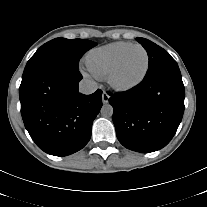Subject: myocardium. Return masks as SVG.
Listing matches in <instances>:
<instances>
[{
	"label": "myocardium",
	"instance_id": "f54148a6",
	"mask_svg": "<svg viewBox=\"0 0 207 207\" xmlns=\"http://www.w3.org/2000/svg\"><path fill=\"white\" fill-rule=\"evenodd\" d=\"M134 48H140L144 51L145 56H146L145 68H144L142 74L135 81L130 82V83H125V84L118 83L115 80L116 73L119 70L120 66L122 65L126 56ZM149 67H150V57H149V54H148L146 48L143 45H141L140 43H134V44L130 45L127 49H125L120 54V56L117 58V60L114 62L113 66L111 67L109 72L106 74V81L116 91H120V92L129 91V90L136 88L144 81V79L146 78V76L148 74Z\"/></svg>",
	"mask_w": 207,
	"mask_h": 207
}]
</instances>
